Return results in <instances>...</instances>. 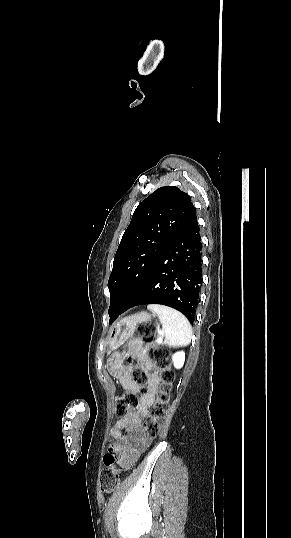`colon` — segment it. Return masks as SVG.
<instances>
[{
  "instance_id": "5ec220e1",
  "label": "colon",
  "mask_w": 291,
  "mask_h": 538,
  "mask_svg": "<svg viewBox=\"0 0 291 538\" xmlns=\"http://www.w3.org/2000/svg\"><path fill=\"white\" fill-rule=\"evenodd\" d=\"M140 338L146 343H153L155 335V326L153 324H140L138 327ZM149 358L154 367L159 371L160 390L150 414L146 417L145 431L151 437L159 435L162 428L163 420L169 410V386L171 385L174 375L166 361L164 350L151 346L148 352ZM124 364L131 370L132 380L141 387H145L148 382L147 373L139 367V359L129 356L125 359ZM137 404L135 395L129 392L119 394L115 399V411L118 416H125L131 413ZM105 467L100 473V488L105 493L113 492L119 484L120 473L116 467V457L109 451L105 456Z\"/></svg>"
}]
</instances>
